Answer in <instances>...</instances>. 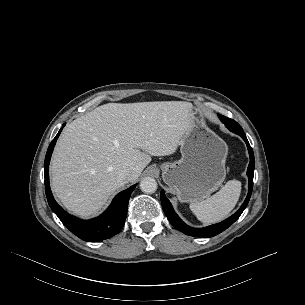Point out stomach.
<instances>
[{
  "label": "stomach",
  "instance_id": "obj_1",
  "mask_svg": "<svg viewBox=\"0 0 305 305\" xmlns=\"http://www.w3.org/2000/svg\"><path fill=\"white\" fill-rule=\"evenodd\" d=\"M181 159L161 165L162 178L180 202H200L226 177L227 144L192 109V124L180 141Z\"/></svg>",
  "mask_w": 305,
  "mask_h": 305
}]
</instances>
